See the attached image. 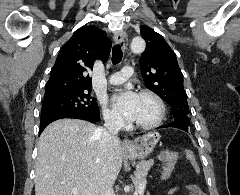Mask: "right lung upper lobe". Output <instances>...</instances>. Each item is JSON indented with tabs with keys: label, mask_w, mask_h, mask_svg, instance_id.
I'll return each instance as SVG.
<instances>
[{
	"label": "right lung upper lobe",
	"mask_w": 240,
	"mask_h": 195,
	"mask_svg": "<svg viewBox=\"0 0 240 195\" xmlns=\"http://www.w3.org/2000/svg\"><path fill=\"white\" fill-rule=\"evenodd\" d=\"M110 47L105 31L94 26L76 30L57 56L45 95L75 89L91 90L92 80L88 72L95 59L107 61Z\"/></svg>",
	"instance_id": "1"
}]
</instances>
